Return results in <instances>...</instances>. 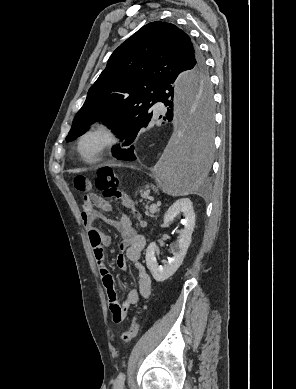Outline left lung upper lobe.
<instances>
[{
    "label": "left lung upper lobe",
    "instance_id": "1",
    "mask_svg": "<svg viewBox=\"0 0 296 389\" xmlns=\"http://www.w3.org/2000/svg\"><path fill=\"white\" fill-rule=\"evenodd\" d=\"M185 70H190L191 78L203 76L210 86L204 60L184 31L160 21L143 26L112 53L66 140L76 139L101 120L122 140L136 127L137 136L153 117L151 107L162 84Z\"/></svg>",
    "mask_w": 296,
    "mask_h": 389
}]
</instances>
